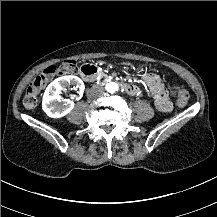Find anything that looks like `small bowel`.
<instances>
[{
	"label": "small bowel",
	"mask_w": 217,
	"mask_h": 217,
	"mask_svg": "<svg viewBox=\"0 0 217 217\" xmlns=\"http://www.w3.org/2000/svg\"><path fill=\"white\" fill-rule=\"evenodd\" d=\"M95 67L93 66V69ZM143 81L148 84L154 93V100L157 104V107L162 112H170L172 110V104L168 100L166 93L163 90L162 84L159 80V77L153 74L143 75Z\"/></svg>",
	"instance_id": "1"
}]
</instances>
